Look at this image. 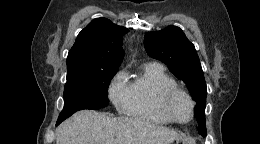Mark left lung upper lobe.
I'll use <instances>...</instances> for the list:
<instances>
[{"label":"left lung upper lobe","mask_w":260,"mask_h":144,"mask_svg":"<svg viewBox=\"0 0 260 144\" xmlns=\"http://www.w3.org/2000/svg\"><path fill=\"white\" fill-rule=\"evenodd\" d=\"M144 45L150 57L165 63L177 78L187 84L191 96L197 102L195 115L199 123V134L205 137L207 89L194 45L176 26H168L156 32H147Z\"/></svg>","instance_id":"left-lung-upper-lobe-1"}]
</instances>
